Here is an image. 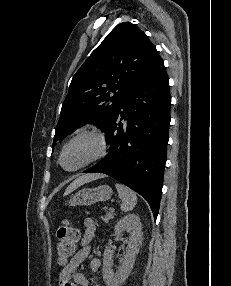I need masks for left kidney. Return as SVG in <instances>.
Returning a JSON list of instances; mask_svg holds the SVG:
<instances>
[{
	"instance_id": "left-kidney-1",
	"label": "left kidney",
	"mask_w": 231,
	"mask_h": 286,
	"mask_svg": "<svg viewBox=\"0 0 231 286\" xmlns=\"http://www.w3.org/2000/svg\"><path fill=\"white\" fill-rule=\"evenodd\" d=\"M115 236L121 237L123 232H128L129 238L124 239L127 243L126 256L120 260V266L114 272L112 269L113 259L112 252L108 246H106L103 255V279L107 286H120L129 277L136 259V255L139 252L142 244V225L140 217L137 214H128L118 221L115 226ZM112 241L109 240V244Z\"/></svg>"
}]
</instances>
